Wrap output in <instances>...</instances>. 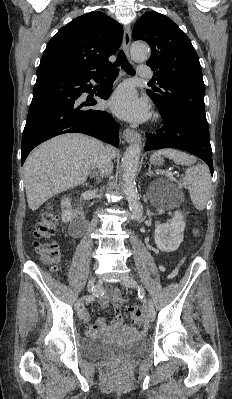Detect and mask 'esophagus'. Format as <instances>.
Returning a JSON list of instances; mask_svg holds the SVG:
<instances>
[{"instance_id": "esophagus-1", "label": "esophagus", "mask_w": 232, "mask_h": 399, "mask_svg": "<svg viewBox=\"0 0 232 399\" xmlns=\"http://www.w3.org/2000/svg\"><path fill=\"white\" fill-rule=\"evenodd\" d=\"M131 42V31L129 25H125L124 27V35H123V52L126 56H129V47ZM123 137L128 143L140 142L141 135L132 129H125L123 132Z\"/></svg>"}]
</instances>
